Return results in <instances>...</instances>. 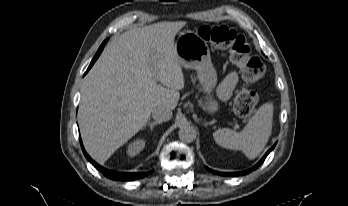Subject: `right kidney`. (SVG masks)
<instances>
[{
    "label": "right kidney",
    "mask_w": 348,
    "mask_h": 206,
    "mask_svg": "<svg viewBox=\"0 0 348 206\" xmlns=\"http://www.w3.org/2000/svg\"><path fill=\"white\" fill-rule=\"evenodd\" d=\"M145 147V141L143 139H136L131 142L127 147V154L130 157H134L138 155L141 150Z\"/></svg>",
    "instance_id": "right-kidney-1"
}]
</instances>
